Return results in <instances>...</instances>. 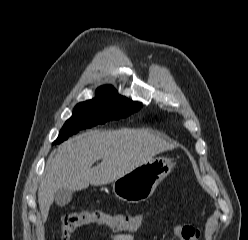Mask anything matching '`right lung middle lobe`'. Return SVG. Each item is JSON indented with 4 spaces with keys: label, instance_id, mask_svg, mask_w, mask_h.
<instances>
[{
    "label": "right lung middle lobe",
    "instance_id": "dd1d6c3e",
    "mask_svg": "<svg viewBox=\"0 0 248 240\" xmlns=\"http://www.w3.org/2000/svg\"><path fill=\"white\" fill-rule=\"evenodd\" d=\"M140 106V103L118 95L116 90L109 92L97 90L94 99L76 105L72 117L65 122L53 144L61 143L81 129L127 117L136 112Z\"/></svg>",
    "mask_w": 248,
    "mask_h": 240
}]
</instances>
